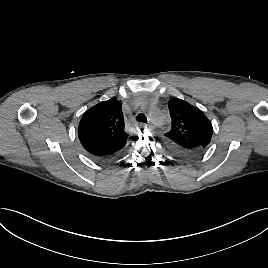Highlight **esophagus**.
Returning <instances> with one entry per match:
<instances>
[{"label":"esophagus","mask_w":268,"mask_h":268,"mask_svg":"<svg viewBox=\"0 0 268 268\" xmlns=\"http://www.w3.org/2000/svg\"><path fill=\"white\" fill-rule=\"evenodd\" d=\"M142 127L146 128V127H147V125H146V124H142Z\"/></svg>","instance_id":"obj_1"}]
</instances>
